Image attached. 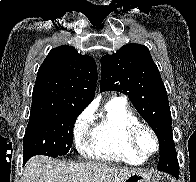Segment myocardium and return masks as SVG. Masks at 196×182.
Returning a JSON list of instances; mask_svg holds the SVG:
<instances>
[{"label": "myocardium", "mask_w": 196, "mask_h": 182, "mask_svg": "<svg viewBox=\"0 0 196 182\" xmlns=\"http://www.w3.org/2000/svg\"><path fill=\"white\" fill-rule=\"evenodd\" d=\"M143 132H147L149 133L154 142H155V148L152 152L148 153L146 151H144L140 145L139 139L140 136ZM129 144L130 147L139 155H141L142 157H144L145 159L150 158L152 156H154L156 153H158L159 149H160V140L159 137L157 135V133L155 132V130L146 124L143 123H139L137 125H135L129 132Z\"/></svg>", "instance_id": "obj_1"}]
</instances>
